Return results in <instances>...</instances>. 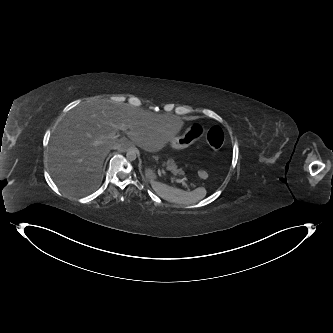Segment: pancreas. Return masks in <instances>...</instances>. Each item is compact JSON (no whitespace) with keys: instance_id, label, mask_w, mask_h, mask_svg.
I'll return each instance as SVG.
<instances>
[{"instance_id":"cf45deb5","label":"pancreas","mask_w":333,"mask_h":333,"mask_svg":"<svg viewBox=\"0 0 333 333\" xmlns=\"http://www.w3.org/2000/svg\"><path fill=\"white\" fill-rule=\"evenodd\" d=\"M167 167V170H170L173 174H183V172L177 168V165L173 159H169L167 162H163V166Z\"/></svg>"}]
</instances>
